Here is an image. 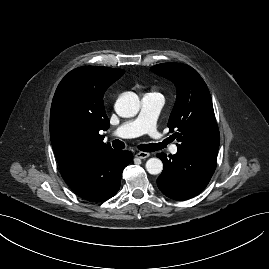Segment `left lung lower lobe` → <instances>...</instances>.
I'll return each mask as SVG.
<instances>
[{"label":"left lung lower lobe","instance_id":"1","mask_svg":"<svg viewBox=\"0 0 269 269\" xmlns=\"http://www.w3.org/2000/svg\"><path fill=\"white\" fill-rule=\"evenodd\" d=\"M218 148L201 150L179 149L169 159L164 153H158L164 169L157 179L159 190L174 200H187L204 190L215 168Z\"/></svg>","mask_w":269,"mask_h":269}]
</instances>
